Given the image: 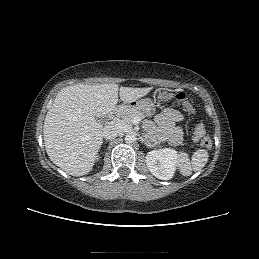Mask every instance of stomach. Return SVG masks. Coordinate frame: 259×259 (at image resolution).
<instances>
[{
    "mask_svg": "<svg viewBox=\"0 0 259 259\" xmlns=\"http://www.w3.org/2000/svg\"><path fill=\"white\" fill-rule=\"evenodd\" d=\"M157 94L162 101H168L173 97V93L169 89H159ZM125 108L138 109L148 116L153 115L156 111L155 103L150 98L132 101L127 103Z\"/></svg>",
    "mask_w": 259,
    "mask_h": 259,
    "instance_id": "0dacf381",
    "label": "stomach"
}]
</instances>
